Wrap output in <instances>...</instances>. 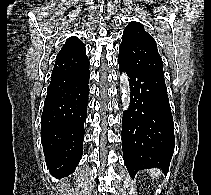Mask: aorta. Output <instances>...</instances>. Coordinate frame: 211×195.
Wrapping results in <instances>:
<instances>
[{"label":"aorta","instance_id":"1","mask_svg":"<svg viewBox=\"0 0 211 195\" xmlns=\"http://www.w3.org/2000/svg\"><path fill=\"white\" fill-rule=\"evenodd\" d=\"M120 84L122 105L124 109H127L130 104V85L126 73H122L120 77Z\"/></svg>","mask_w":211,"mask_h":195}]
</instances>
